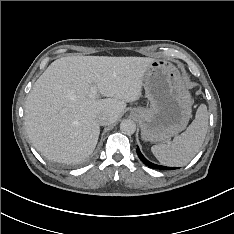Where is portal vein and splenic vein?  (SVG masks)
Here are the masks:
<instances>
[{"mask_svg": "<svg viewBox=\"0 0 234 234\" xmlns=\"http://www.w3.org/2000/svg\"><path fill=\"white\" fill-rule=\"evenodd\" d=\"M90 96H91L92 98H95V97L97 96V91H96L95 88H92V89H91V94H90Z\"/></svg>", "mask_w": 234, "mask_h": 234, "instance_id": "1", "label": "portal vein and splenic vein"}]
</instances>
